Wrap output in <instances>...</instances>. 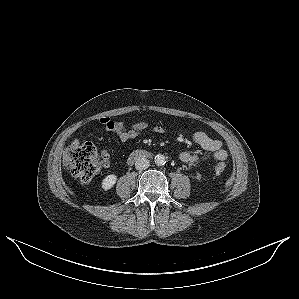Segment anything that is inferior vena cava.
<instances>
[{
	"label": "inferior vena cava",
	"instance_id": "inferior-vena-cava-1",
	"mask_svg": "<svg viewBox=\"0 0 299 299\" xmlns=\"http://www.w3.org/2000/svg\"><path fill=\"white\" fill-rule=\"evenodd\" d=\"M149 165V160L144 157H139L135 163V167L137 170H145L149 167Z\"/></svg>",
	"mask_w": 299,
	"mask_h": 299
}]
</instances>
